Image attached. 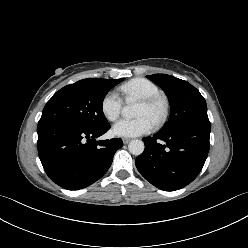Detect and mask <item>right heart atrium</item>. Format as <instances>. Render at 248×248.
<instances>
[{
  "mask_svg": "<svg viewBox=\"0 0 248 248\" xmlns=\"http://www.w3.org/2000/svg\"><path fill=\"white\" fill-rule=\"evenodd\" d=\"M123 101L115 91H109L104 95L101 101V112L109 121H115L122 109Z\"/></svg>",
  "mask_w": 248,
  "mask_h": 248,
  "instance_id": "right-heart-atrium-1",
  "label": "right heart atrium"
}]
</instances>
